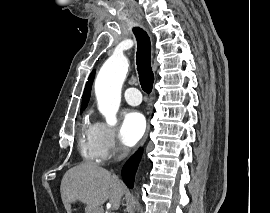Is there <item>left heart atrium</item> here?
Instances as JSON below:
<instances>
[{"label": "left heart atrium", "mask_w": 270, "mask_h": 213, "mask_svg": "<svg viewBox=\"0 0 270 213\" xmlns=\"http://www.w3.org/2000/svg\"><path fill=\"white\" fill-rule=\"evenodd\" d=\"M146 121L138 111H129L124 115L120 128V140L126 146L135 145L144 135Z\"/></svg>", "instance_id": "left-heart-atrium-1"}]
</instances>
